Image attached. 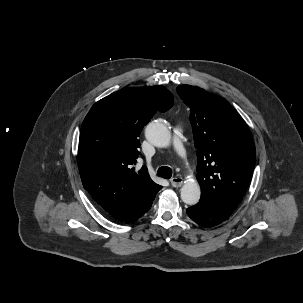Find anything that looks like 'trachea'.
I'll use <instances>...</instances> for the list:
<instances>
[{"label":"trachea","instance_id":"1","mask_svg":"<svg viewBox=\"0 0 303 303\" xmlns=\"http://www.w3.org/2000/svg\"><path fill=\"white\" fill-rule=\"evenodd\" d=\"M157 175L165 179H170L172 177V169L167 166H162L158 169Z\"/></svg>","mask_w":303,"mask_h":303}]
</instances>
